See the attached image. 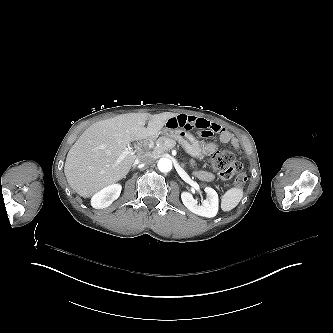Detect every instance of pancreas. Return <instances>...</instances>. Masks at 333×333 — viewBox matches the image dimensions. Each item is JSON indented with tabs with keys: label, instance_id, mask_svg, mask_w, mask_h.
Segmentation results:
<instances>
[{
	"label": "pancreas",
	"instance_id": "cf45deb5",
	"mask_svg": "<svg viewBox=\"0 0 333 333\" xmlns=\"http://www.w3.org/2000/svg\"><path fill=\"white\" fill-rule=\"evenodd\" d=\"M176 145V140L172 136H161L156 141V147L152 150L153 155H161L164 152L170 150ZM189 169L196 171L198 169V164L192 158L189 159Z\"/></svg>",
	"mask_w": 333,
	"mask_h": 333
}]
</instances>
